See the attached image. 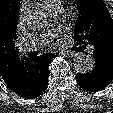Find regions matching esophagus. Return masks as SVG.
Returning <instances> with one entry per match:
<instances>
[{"instance_id":"obj_1","label":"esophagus","mask_w":113,"mask_h":113,"mask_svg":"<svg viewBox=\"0 0 113 113\" xmlns=\"http://www.w3.org/2000/svg\"><path fill=\"white\" fill-rule=\"evenodd\" d=\"M62 53H64L65 55H67L69 57H74L77 55V53L75 51H64Z\"/></svg>"}]
</instances>
